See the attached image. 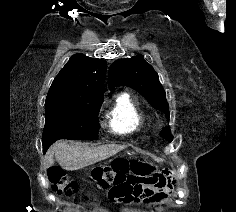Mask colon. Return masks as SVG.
Segmentation results:
<instances>
[{"mask_svg":"<svg viewBox=\"0 0 236 212\" xmlns=\"http://www.w3.org/2000/svg\"><path fill=\"white\" fill-rule=\"evenodd\" d=\"M148 168L135 162L119 159L96 169L92 173V181L99 189H107L113 186L118 175H146ZM48 178L52 189L59 195L73 196L77 193V182L68 177L59 167H53L48 172ZM114 187V186H113Z\"/></svg>","mask_w":236,"mask_h":212,"instance_id":"colon-1","label":"colon"}]
</instances>
